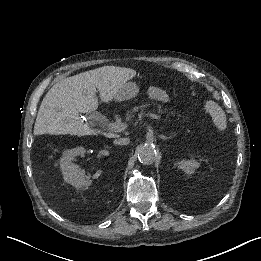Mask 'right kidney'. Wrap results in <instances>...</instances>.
<instances>
[{"label":"right kidney","instance_id":"obj_1","mask_svg":"<svg viewBox=\"0 0 261 261\" xmlns=\"http://www.w3.org/2000/svg\"><path fill=\"white\" fill-rule=\"evenodd\" d=\"M85 149L77 148L66 152L61 158L60 169L64 177V181L77 189L89 188L93 181L87 178H82V171L76 170V166L71 164L75 156L83 157L85 156Z\"/></svg>","mask_w":261,"mask_h":261}]
</instances>
